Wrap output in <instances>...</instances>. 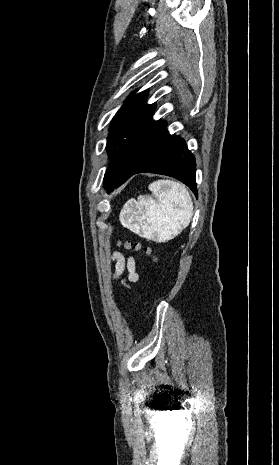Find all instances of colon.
<instances>
[{"label":"colon","mask_w":279,"mask_h":465,"mask_svg":"<svg viewBox=\"0 0 279 465\" xmlns=\"http://www.w3.org/2000/svg\"><path fill=\"white\" fill-rule=\"evenodd\" d=\"M125 246L127 248H133L135 250H143L146 254L152 257L154 263L158 262L157 256L154 254L153 250L150 247H143L139 243L128 241Z\"/></svg>","instance_id":"5ec220e1"}]
</instances>
